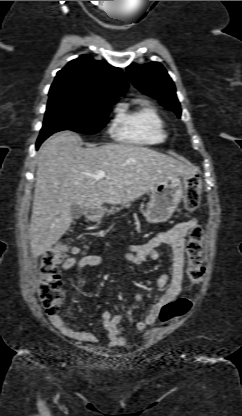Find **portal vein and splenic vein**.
<instances>
[{
    "label": "portal vein and splenic vein",
    "instance_id": "1",
    "mask_svg": "<svg viewBox=\"0 0 242 416\" xmlns=\"http://www.w3.org/2000/svg\"><path fill=\"white\" fill-rule=\"evenodd\" d=\"M105 176H106V173L101 171V172L93 175L92 177L96 180H100V179H103Z\"/></svg>",
    "mask_w": 242,
    "mask_h": 416
}]
</instances>
